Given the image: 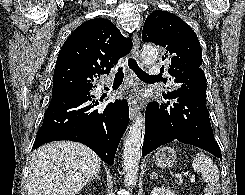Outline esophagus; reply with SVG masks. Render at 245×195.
I'll use <instances>...</instances> for the list:
<instances>
[{
  "instance_id": "esophagus-1",
  "label": "esophagus",
  "mask_w": 245,
  "mask_h": 195,
  "mask_svg": "<svg viewBox=\"0 0 245 195\" xmlns=\"http://www.w3.org/2000/svg\"><path fill=\"white\" fill-rule=\"evenodd\" d=\"M131 55L137 61L140 59V40H139V37L137 34H134V36H133V48H132ZM128 73H129L130 77L132 78V80H135L134 73L131 70L128 71ZM128 105H129L130 119L134 120V118L138 112L139 106H138L137 100L131 94L128 97Z\"/></svg>"
}]
</instances>
